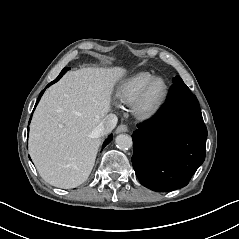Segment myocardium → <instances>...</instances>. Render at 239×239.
Listing matches in <instances>:
<instances>
[{
    "mask_svg": "<svg viewBox=\"0 0 239 239\" xmlns=\"http://www.w3.org/2000/svg\"><path fill=\"white\" fill-rule=\"evenodd\" d=\"M163 81L165 85L164 93L158 103L152 107L147 108L146 103L149 96V93L152 87L158 82ZM170 94V86L168 81L163 77H155L153 78L146 87L142 90L136 100L133 102L132 111L134 116L142 121H149L156 118L163 108L165 107L167 100Z\"/></svg>",
    "mask_w": 239,
    "mask_h": 239,
    "instance_id": "f54148a6",
    "label": "myocardium"
}]
</instances>
